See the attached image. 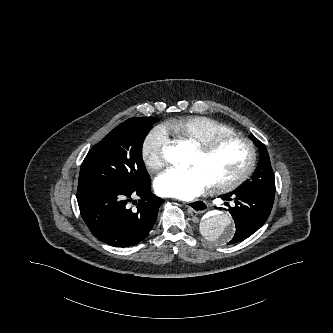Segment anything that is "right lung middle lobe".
<instances>
[{
  "label": "right lung middle lobe",
  "mask_w": 333,
  "mask_h": 333,
  "mask_svg": "<svg viewBox=\"0 0 333 333\" xmlns=\"http://www.w3.org/2000/svg\"><path fill=\"white\" fill-rule=\"evenodd\" d=\"M158 119L126 120L91 148L85 157L78 187L97 183L137 186L149 177L142 160L143 141Z\"/></svg>",
  "instance_id": "1"
}]
</instances>
